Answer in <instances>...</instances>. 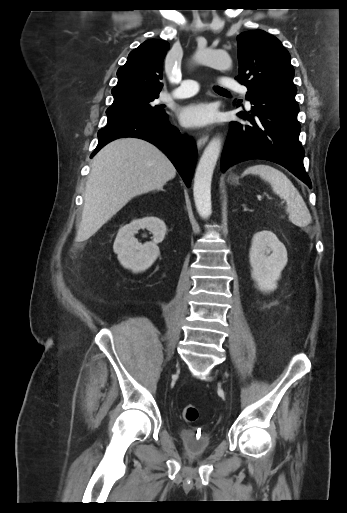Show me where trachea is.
I'll list each match as a JSON object with an SVG mask.
<instances>
[{"instance_id": "trachea-1", "label": "trachea", "mask_w": 347, "mask_h": 513, "mask_svg": "<svg viewBox=\"0 0 347 513\" xmlns=\"http://www.w3.org/2000/svg\"><path fill=\"white\" fill-rule=\"evenodd\" d=\"M214 89H215V91H216V92H218V93H226V94H228V93H229L226 89H223V88L218 87V86H217V87H215Z\"/></svg>"}]
</instances>
